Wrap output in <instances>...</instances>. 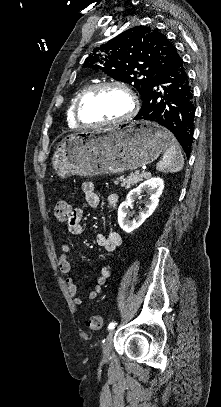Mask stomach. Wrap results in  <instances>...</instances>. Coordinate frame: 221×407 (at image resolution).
Returning <instances> with one entry per match:
<instances>
[{
  "label": "stomach",
  "instance_id": "0dacf381",
  "mask_svg": "<svg viewBox=\"0 0 221 407\" xmlns=\"http://www.w3.org/2000/svg\"><path fill=\"white\" fill-rule=\"evenodd\" d=\"M171 134L140 120L64 137L55 147L52 166L59 177L117 174L155 161L169 145Z\"/></svg>",
  "mask_w": 221,
  "mask_h": 407
}]
</instances>
